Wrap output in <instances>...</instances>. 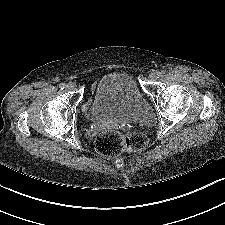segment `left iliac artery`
Segmentation results:
<instances>
[{
  "label": "left iliac artery",
  "instance_id": "1",
  "mask_svg": "<svg viewBox=\"0 0 225 225\" xmlns=\"http://www.w3.org/2000/svg\"><path fill=\"white\" fill-rule=\"evenodd\" d=\"M164 74H165V71L162 70L161 72L158 73V78H159L160 76L164 75Z\"/></svg>",
  "mask_w": 225,
  "mask_h": 225
}]
</instances>
